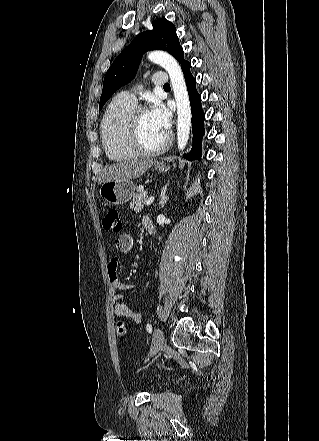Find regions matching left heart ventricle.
Segmentation results:
<instances>
[{
  "label": "left heart ventricle",
  "instance_id": "1",
  "mask_svg": "<svg viewBox=\"0 0 319 441\" xmlns=\"http://www.w3.org/2000/svg\"><path fill=\"white\" fill-rule=\"evenodd\" d=\"M167 134L163 133L153 122L149 112L140 116V139L147 148H156L165 140Z\"/></svg>",
  "mask_w": 319,
  "mask_h": 441
}]
</instances>
